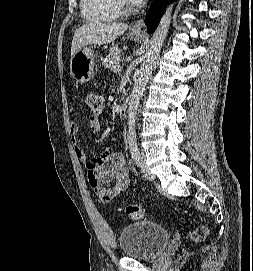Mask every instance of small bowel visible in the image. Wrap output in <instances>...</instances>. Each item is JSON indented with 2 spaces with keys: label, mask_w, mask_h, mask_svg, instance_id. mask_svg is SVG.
<instances>
[{
  "label": "small bowel",
  "mask_w": 253,
  "mask_h": 271,
  "mask_svg": "<svg viewBox=\"0 0 253 271\" xmlns=\"http://www.w3.org/2000/svg\"><path fill=\"white\" fill-rule=\"evenodd\" d=\"M101 130L98 117H91L88 121L90 134H97ZM78 126L69 125V135L74 144L77 158L84 164L88 182L96 197L102 202H108L124 192L129 184L130 177L124 156L112 148H105L99 157L90 159L78 145Z\"/></svg>",
  "instance_id": "c3829d8e"
}]
</instances>
